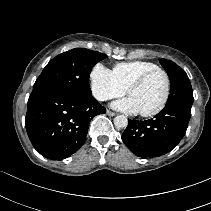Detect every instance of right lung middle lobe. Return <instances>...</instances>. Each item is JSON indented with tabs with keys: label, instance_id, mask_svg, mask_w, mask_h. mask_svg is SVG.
Instances as JSON below:
<instances>
[{
	"label": "right lung middle lobe",
	"instance_id": "1",
	"mask_svg": "<svg viewBox=\"0 0 211 211\" xmlns=\"http://www.w3.org/2000/svg\"><path fill=\"white\" fill-rule=\"evenodd\" d=\"M107 56L75 48L52 59L37 78L32 92L58 91L76 97L91 96L89 75L92 67Z\"/></svg>",
	"mask_w": 211,
	"mask_h": 211
}]
</instances>
